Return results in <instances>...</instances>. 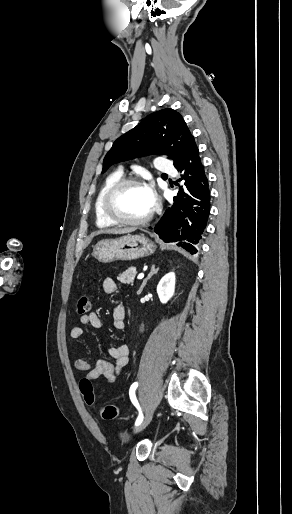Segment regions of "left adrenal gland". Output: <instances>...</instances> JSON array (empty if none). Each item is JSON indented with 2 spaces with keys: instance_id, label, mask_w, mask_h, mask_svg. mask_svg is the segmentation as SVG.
<instances>
[{
  "instance_id": "a2214340",
  "label": "left adrenal gland",
  "mask_w": 292,
  "mask_h": 514,
  "mask_svg": "<svg viewBox=\"0 0 292 514\" xmlns=\"http://www.w3.org/2000/svg\"><path fill=\"white\" fill-rule=\"evenodd\" d=\"M158 270H159V268H155V266H152L151 272H150V274H148L147 278H145V280H143V282L138 290V294H141V292H143V288H144V286H146L147 280H150V278H152L153 274H157Z\"/></svg>"
}]
</instances>
